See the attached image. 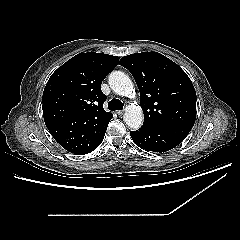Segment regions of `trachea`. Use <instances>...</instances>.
<instances>
[{"mask_svg": "<svg viewBox=\"0 0 240 240\" xmlns=\"http://www.w3.org/2000/svg\"><path fill=\"white\" fill-rule=\"evenodd\" d=\"M123 103L119 100V99H112L109 103H108V108L111 111H115V110H122L123 109Z\"/></svg>", "mask_w": 240, "mask_h": 240, "instance_id": "1", "label": "trachea"}]
</instances>
